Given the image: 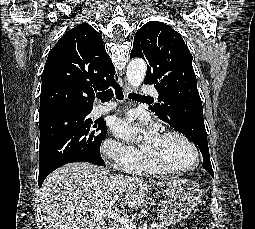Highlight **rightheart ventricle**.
<instances>
[{
	"label": "right heart ventricle",
	"instance_id": "obj_1",
	"mask_svg": "<svg viewBox=\"0 0 255 229\" xmlns=\"http://www.w3.org/2000/svg\"><path fill=\"white\" fill-rule=\"evenodd\" d=\"M123 169L129 173L137 174V175H148V174H161L162 172L152 168L149 164H147L143 157L135 159L134 161L126 164Z\"/></svg>",
	"mask_w": 255,
	"mask_h": 229
}]
</instances>
